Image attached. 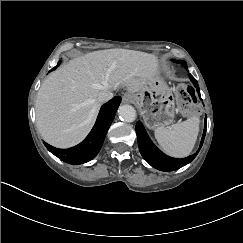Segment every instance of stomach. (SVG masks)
<instances>
[{
  "label": "stomach",
  "instance_id": "obj_1",
  "mask_svg": "<svg viewBox=\"0 0 243 243\" xmlns=\"http://www.w3.org/2000/svg\"><path fill=\"white\" fill-rule=\"evenodd\" d=\"M132 101L149 129L168 126L174 119L175 98L158 73L142 90L133 93Z\"/></svg>",
  "mask_w": 243,
  "mask_h": 243
}]
</instances>
